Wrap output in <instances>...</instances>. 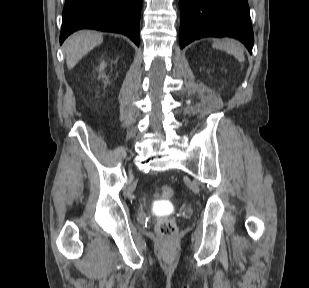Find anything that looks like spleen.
<instances>
[{
	"label": "spleen",
	"instance_id": "obj_1",
	"mask_svg": "<svg viewBox=\"0 0 309 288\" xmlns=\"http://www.w3.org/2000/svg\"><path fill=\"white\" fill-rule=\"evenodd\" d=\"M213 46L223 49L228 54L233 55L240 62L244 61L245 59L242 46L237 41H234L231 39H225L222 41H214Z\"/></svg>",
	"mask_w": 309,
	"mask_h": 288
}]
</instances>
